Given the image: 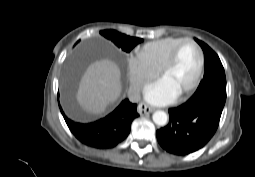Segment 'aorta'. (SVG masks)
I'll list each match as a JSON object with an SVG mask.
<instances>
[{
  "label": "aorta",
  "instance_id": "obj_1",
  "mask_svg": "<svg viewBox=\"0 0 255 177\" xmlns=\"http://www.w3.org/2000/svg\"><path fill=\"white\" fill-rule=\"evenodd\" d=\"M153 121L158 126H164L167 124L168 116L164 111L158 110L153 113Z\"/></svg>",
  "mask_w": 255,
  "mask_h": 177
}]
</instances>
